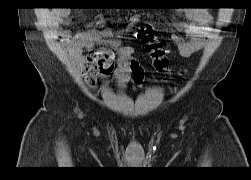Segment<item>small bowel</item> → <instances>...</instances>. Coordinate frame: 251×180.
<instances>
[{"label":"small bowel","mask_w":251,"mask_h":180,"mask_svg":"<svg viewBox=\"0 0 251 180\" xmlns=\"http://www.w3.org/2000/svg\"><path fill=\"white\" fill-rule=\"evenodd\" d=\"M70 14L67 8L57 9L49 13V21L53 27L66 21ZM186 22H176L174 27L184 32L186 38L177 33L172 34L171 40L181 57H190L206 45V34L210 29L212 17L208 10L192 8L184 11ZM138 15L131 18L133 22ZM99 29H90L76 34L68 31L59 33L60 40L66 50L72 55H78L84 50H91L82 67V75L86 83L94 88L99 80L114 73L117 84L123 88L133 78L139 82L142 79V69L132 57V49L124 46L114 38L113 31L98 22ZM95 46L98 50H92Z\"/></svg>","instance_id":"obj_1"}]
</instances>
